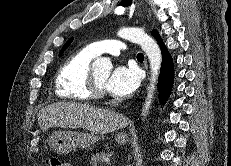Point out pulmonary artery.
<instances>
[{"label": "pulmonary artery", "instance_id": "1", "mask_svg": "<svg viewBox=\"0 0 231 166\" xmlns=\"http://www.w3.org/2000/svg\"><path fill=\"white\" fill-rule=\"evenodd\" d=\"M89 47L97 56L104 53L118 56L122 51L127 49L123 41L114 39L93 42Z\"/></svg>", "mask_w": 231, "mask_h": 166}]
</instances>
